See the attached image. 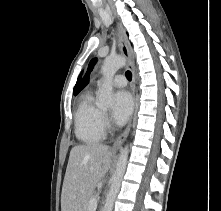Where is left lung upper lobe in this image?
I'll use <instances>...</instances> for the list:
<instances>
[{"label": "left lung upper lobe", "mask_w": 221, "mask_h": 211, "mask_svg": "<svg viewBox=\"0 0 221 211\" xmlns=\"http://www.w3.org/2000/svg\"><path fill=\"white\" fill-rule=\"evenodd\" d=\"M95 63H96L95 58L90 61L88 71H87L83 81L81 82L78 90L75 92V94H77L81 89H83L86 86V84L89 82L90 71L93 69V66Z\"/></svg>", "instance_id": "5c2ea615"}]
</instances>
